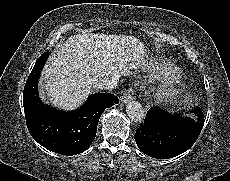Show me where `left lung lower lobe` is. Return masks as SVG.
Listing matches in <instances>:
<instances>
[{
    "instance_id": "1",
    "label": "left lung lower lobe",
    "mask_w": 230,
    "mask_h": 181,
    "mask_svg": "<svg viewBox=\"0 0 230 181\" xmlns=\"http://www.w3.org/2000/svg\"><path fill=\"white\" fill-rule=\"evenodd\" d=\"M198 120L166 113L159 107L150 108L144 123L135 133L138 148L153 158L168 159L187 151L198 138L204 116L199 108L194 110Z\"/></svg>"
}]
</instances>
